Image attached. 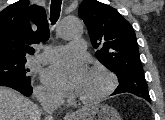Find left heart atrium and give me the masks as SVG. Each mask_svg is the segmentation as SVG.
<instances>
[{"mask_svg":"<svg viewBox=\"0 0 165 120\" xmlns=\"http://www.w3.org/2000/svg\"><path fill=\"white\" fill-rule=\"evenodd\" d=\"M87 74L88 70L81 62L67 61L46 69L43 80L56 92L73 96L79 94Z\"/></svg>","mask_w":165,"mask_h":120,"instance_id":"1","label":"left heart atrium"}]
</instances>
